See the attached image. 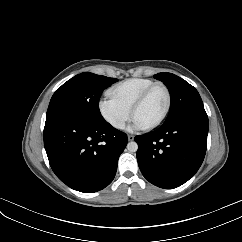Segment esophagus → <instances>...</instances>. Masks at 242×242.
<instances>
[{
    "label": "esophagus",
    "instance_id": "34e87169",
    "mask_svg": "<svg viewBox=\"0 0 242 242\" xmlns=\"http://www.w3.org/2000/svg\"><path fill=\"white\" fill-rule=\"evenodd\" d=\"M128 140H129V141L134 140V136H133V135H128Z\"/></svg>",
    "mask_w": 242,
    "mask_h": 242
}]
</instances>
